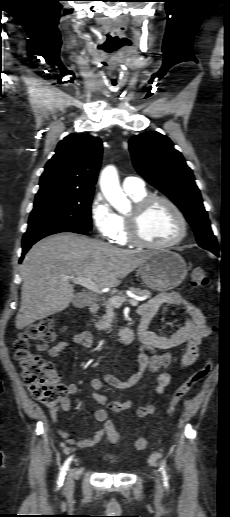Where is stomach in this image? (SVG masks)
I'll return each mask as SVG.
<instances>
[{"mask_svg": "<svg viewBox=\"0 0 230 517\" xmlns=\"http://www.w3.org/2000/svg\"><path fill=\"white\" fill-rule=\"evenodd\" d=\"M184 259L171 250H155L139 267L144 284L156 291L164 292L179 286L187 276Z\"/></svg>", "mask_w": 230, "mask_h": 517, "instance_id": "stomach-1", "label": "stomach"}]
</instances>
